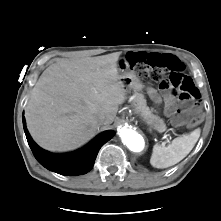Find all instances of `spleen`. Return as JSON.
Instances as JSON below:
<instances>
[{"instance_id":"spleen-1","label":"spleen","mask_w":221,"mask_h":221,"mask_svg":"<svg viewBox=\"0 0 221 221\" xmlns=\"http://www.w3.org/2000/svg\"><path fill=\"white\" fill-rule=\"evenodd\" d=\"M201 130L175 138L168 146L154 145L150 163L156 168H167L184 159L193 149L200 137Z\"/></svg>"}]
</instances>
